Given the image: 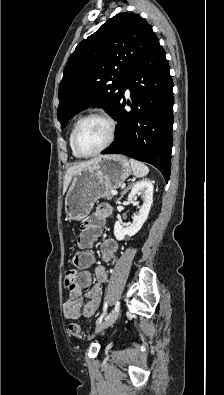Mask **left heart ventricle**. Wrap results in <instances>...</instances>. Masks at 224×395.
Listing matches in <instances>:
<instances>
[{"mask_svg": "<svg viewBox=\"0 0 224 395\" xmlns=\"http://www.w3.org/2000/svg\"><path fill=\"white\" fill-rule=\"evenodd\" d=\"M109 136L106 122L98 118L86 120L80 127L77 144L82 153H91L100 148Z\"/></svg>", "mask_w": 224, "mask_h": 395, "instance_id": "obj_1", "label": "left heart ventricle"}]
</instances>
